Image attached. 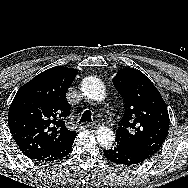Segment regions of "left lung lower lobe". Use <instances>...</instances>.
Masks as SVG:
<instances>
[{"label": "left lung lower lobe", "mask_w": 188, "mask_h": 188, "mask_svg": "<svg viewBox=\"0 0 188 188\" xmlns=\"http://www.w3.org/2000/svg\"><path fill=\"white\" fill-rule=\"evenodd\" d=\"M104 155L113 163L127 166L142 163L152 157L144 151L117 142L111 149H105Z\"/></svg>", "instance_id": "obj_1"}]
</instances>
